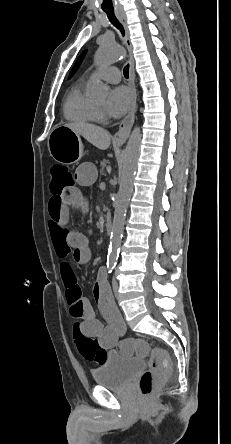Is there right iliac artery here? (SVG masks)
Returning <instances> with one entry per match:
<instances>
[{"instance_id":"1","label":"right iliac artery","mask_w":231,"mask_h":444,"mask_svg":"<svg viewBox=\"0 0 231 444\" xmlns=\"http://www.w3.org/2000/svg\"><path fill=\"white\" fill-rule=\"evenodd\" d=\"M112 269H113V267H112V268H109V271H108V273H111V272H112Z\"/></svg>"}]
</instances>
